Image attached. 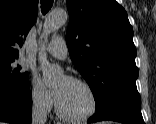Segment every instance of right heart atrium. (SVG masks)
<instances>
[{
  "label": "right heart atrium",
  "instance_id": "obj_1",
  "mask_svg": "<svg viewBox=\"0 0 156 124\" xmlns=\"http://www.w3.org/2000/svg\"><path fill=\"white\" fill-rule=\"evenodd\" d=\"M31 100L33 106L42 112H49L52 108L53 99L50 91L37 79L31 82Z\"/></svg>",
  "mask_w": 156,
  "mask_h": 124
}]
</instances>
